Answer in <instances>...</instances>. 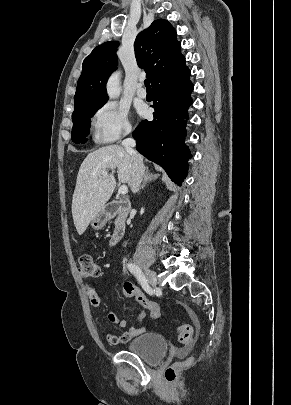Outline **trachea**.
<instances>
[{"instance_id": "obj_1", "label": "trachea", "mask_w": 291, "mask_h": 405, "mask_svg": "<svg viewBox=\"0 0 291 405\" xmlns=\"http://www.w3.org/2000/svg\"><path fill=\"white\" fill-rule=\"evenodd\" d=\"M144 83H145V86H146L147 89H151L150 82H149L148 79H146V80L144 81Z\"/></svg>"}]
</instances>
